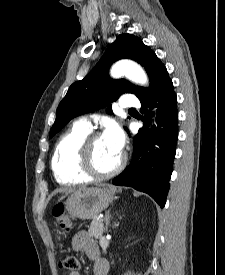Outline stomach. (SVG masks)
I'll return each mask as SVG.
<instances>
[{
    "instance_id": "stomach-1",
    "label": "stomach",
    "mask_w": 225,
    "mask_h": 275,
    "mask_svg": "<svg viewBox=\"0 0 225 275\" xmlns=\"http://www.w3.org/2000/svg\"><path fill=\"white\" fill-rule=\"evenodd\" d=\"M114 199L110 188L94 187L76 191L64 203L67 217L88 220L97 217Z\"/></svg>"
}]
</instances>
